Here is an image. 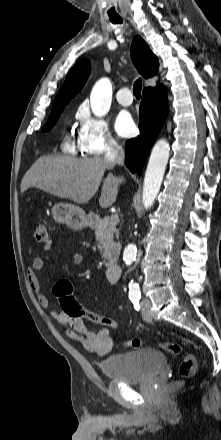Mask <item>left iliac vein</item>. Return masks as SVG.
<instances>
[{"mask_svg":"<svg viewBox=\"0 0 221 440\" xmlns=\"http://www.w3.org/2000/svg\"><path fill=\"white\" fill-rule=\"evenodd\" d=\"M150 305L151 303L149 299H144L142 301V317L147 322L152 321V316L150 314Z\"/></svg>","mask_w":221,"mask_h":440,"instance_id":"left-iliac-vein-1","label":"left iliac vein"}]
</instances>
